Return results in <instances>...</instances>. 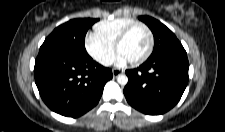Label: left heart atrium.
Returning a JSON list of instances; mask_svg holds the SVG:
<instances>
[{
    "instance_id": "1",
    "label": "left heart atrium",
    "mask_w": 225,
    "mask_h": 132,
    "mask_svg": "<svg viewBox=\"0 0 225 132\" xmlns=\"http://www.w3.org/2000/svg\"><path fill=\"white\" fill-rule=\"evenodd\" d=\"M128 60L126 57H124L122 54L118 53L117 58H116V63L118 65H123L127 62Z\"/></svg>"
}]
</instances>
